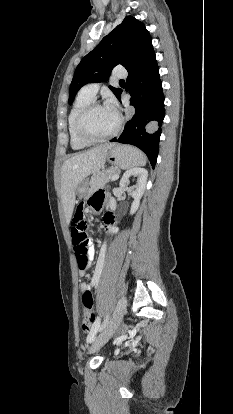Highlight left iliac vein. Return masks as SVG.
<instances>
[{
  "mask_svg": "<svg viewBox=\"0 0 233 414\" xmlns=\"http://www.w3.org/2000/svg\"><path fill=\"white\" fill-rule=\"evenodd\" d=\"M127 307V300L125 297H122L113 312L112 318L110 319L109 323L102 331V333L98 336L94 344L89 349L90 353L96 352L99 350L115 333L118 326L120 325L123 316L126 312Z\"/></svg>",
  "mask_w": 233,
  "mask_h": 414,
  "instance_id": "4c4485c4",
  "label": "left iliac vein"
}]
</instances>
